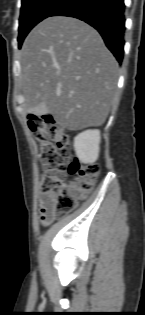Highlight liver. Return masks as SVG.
I'll return each mask as SVG.
<instances>
[{"mask_svg": "<svg viewBox=\"0 0 145 315\" xmlns=\"http://www.w3.org/2000/svg\"><path fill=\"white\" fill-rule=\"evenodd\" d=\"M20 62L29 113L51 114L71 131L105 122L118 63L93 27L72 17H49L25 39Z\"/></svg>", "mask_w": 145, "mask_h": 315, "instance_id": "6515ba94", "label": "liver"}]
</instances>
